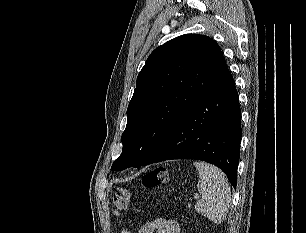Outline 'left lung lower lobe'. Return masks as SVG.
Returning <instances> with one entry per match:
<instances>
[{
    "label": "left lung lower lobe",
    "mask_w": 306,
    "mask_h": 233,
    "mask_svg": "<svg viewBox=\"0 0 306 233\" xmlns=\"http://www.w3.org/2000/svg\"><path fill=\"white\" fill-rule=\"evenodd\" d=\"M241 134L238 93L225 65L143 165L203 160L221 168L236 188Z\"/></svg>",
    "instance_id": "obj_1"
}]
</instances>
